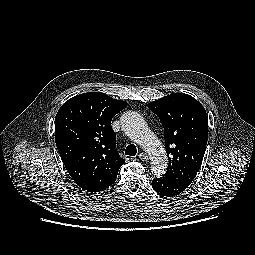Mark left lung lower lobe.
Returning <instances> with one entry per match:
<instances>
[{
  "instance_id": "0a47b994",
  "label": "left lung lower lobe",
  "mask_w": 255,
  "mask_h": 255,
  "mask_svg": "<svg viewBox=\"0 0 255 255\" xmlns=\"http://www.w3.org/2000/svg\"><path fill=\"white\" fill-rule=\"evenodd\" d=\"M153 189L160 195L166 197H173L182 193L188 185L180 184L171 179L160 177L152 181Z\"/></svg>"
}]
</instances>
